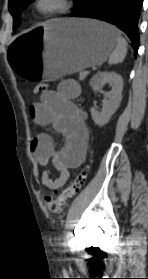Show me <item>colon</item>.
I'll use <instances>...</instances> for the list:
<instances>
[{
    "instance_id": "5ec220e1",
    "label": "colon",
    "mask_w": 148,
    "mask_h": 279,
    "mask_svg": "<svg viewBox=\"0 0 148 279\" xmlns=\"http://www.w3.org/2000/svg\"><path fill=\"white\" fill-rule=\"evenodd\" d=\"M48 85L45 83L37 84L34 89V94H43L47 91ZM87 177V168L77 172L70 183L61 190H55L52 194L46 197L48 209L51 213L61 215L68 200L79 192L85 183Z\"/></svg>"
}]
</instances>
